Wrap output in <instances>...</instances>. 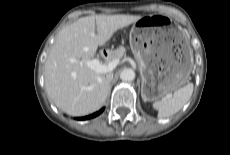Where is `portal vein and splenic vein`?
<instances>
[{"instance_id": "portal-vein-and-splenic-vein-1", "label": "portal vein and splenic vein", "mask_w": 230, "mask_h": 155, "mask_svg": "<svg viewBox=\"0 0 230 155\" xmlns=\"http://www.w3.org/2000/svg\"><path fill=\"white\" fill-rule=\"evenodd\" d=\"M72 61H74L72 59ZM119 59H114L107 64L102 63L99 59H92L88 61L86 64L88 67L93 69L97 73H107L111 72L118 65Z\"/></svg>"}]
</instances>
